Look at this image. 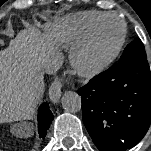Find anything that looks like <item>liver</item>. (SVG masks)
<instances>
[{"label": "liver", "mask_w": 151, "mask_h": 151, "mask_svg": "<svg viewBox=\"0 0 151 151\" xmlns=\"http://www.w3.org/2000/svg\"><path fill=\"white\" fill-rule=\"evenodd\" d=\"M68 32L39 33L21 30L0 51V123L31 118L44 92L43 61L58 52V43L69 41Z\"/></svg>", "instance_id": "6515ba94"}]
</instances>
